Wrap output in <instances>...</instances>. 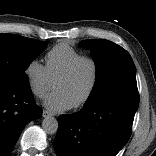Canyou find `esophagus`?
I'll list each match as a JSON object with an SVG mask.
<instances>
[{
	"label": "esophagus",
	"mask_w": 156,
	"mask_h": 156,
	"mask_svg": "<svg viewBox=\"0 0 156 156\" xmlns=\"http://www.w3.org/2000/svg\"><path fill=\"white\" fill-rule=\"evenodd\" d=\"M42 116H43L44 118H46V117L52 116V114H51L50 112L44 110L43 113H42Z\"/></svg>",
	"instance_id": "34e87169"
}]
</instances>
